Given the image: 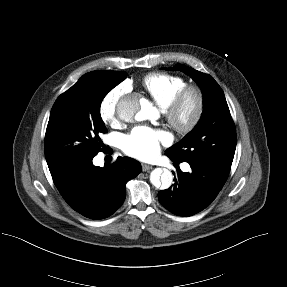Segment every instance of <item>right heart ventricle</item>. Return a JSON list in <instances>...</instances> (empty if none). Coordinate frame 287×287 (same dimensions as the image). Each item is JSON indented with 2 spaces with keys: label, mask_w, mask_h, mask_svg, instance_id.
Returning <instances> with one entry per match:
<instances>
[{
  "label": "right heart ventricle",
  "mask_w": 287,
  "mask_h": 287,
  "mask_svg": "<svg viewBox=\"0 0 287 287\" xmlns=\"http://www.w3.org/2000/svg\"><path fill=\"white\" fill-rule=\"evenodd\" d=\"M142 86L162 108H165L174 96L186 86L183 77L169 73H150L142 79Z\"/></svg>",
  "instance_id": "1"
}]
</instances>
